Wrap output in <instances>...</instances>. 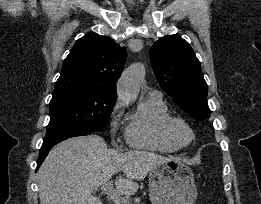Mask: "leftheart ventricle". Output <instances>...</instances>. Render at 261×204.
Returning a JSON list of instances; mask_svg holds the SVG:
<instances>
[{
	"label": "left heart ventricle",
	"instance_id": "obj_1",
	"mask_svg": "<svg viewBox=\"0 0 261 204\" xmlns=\"http://www.w3.org/2000/svg\"><path fill=\"white\" fill-rule=\"evenodd\" d=\"M179 137H180L181 140L187 141L188 138H189V135H188V133L185 130L180 129L179 130Z\"/></svg>",
	"mask_w": 261,
	"mask_h": 204
}]
</instances>
